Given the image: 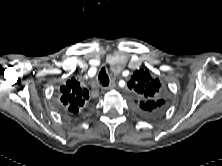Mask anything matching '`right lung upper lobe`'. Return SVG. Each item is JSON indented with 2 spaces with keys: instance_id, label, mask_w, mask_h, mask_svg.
<instances>
[{
  "instance_id": "cb5924a9",
  "label": "right lung upper lobe",
  "mask_w": 222,
  "mask_h": 166,
  "mask_svg": "<svg viewBox=\"0 0 222 166\" xmlns=\"http://www.w3.org/2000/svg\"><path fill=\"white\" fill-rule=\"evenodd\" d=\"M60 89L63 93L61 100L70 105V109H77L78 112V104L84 103V98L86 94H88V91H82L79 86V82L76 81L74 78L68 80L66 85L62 86Z\"/></svg>"
}]
</instances>
